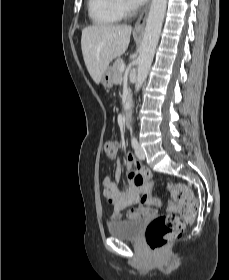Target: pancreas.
<instances>
[{
  "instance_id": "pancreas-1",
  "label": "pancreas",
  "mask_w": 229,
  "mask_h": 280,
  "mask_svg": "<svg viewBox=\"0 0 229 280\" xmlns=\"http://www.w3.org/2000/svg\"><path fill=\"white\" fill-rule=\"evenodd\" d=\"M123 64L122 59L118 58L113 64L112 71H113V80L115 84H118L122 79V72L120 71V66Z\"/></svg>"
}]
</instances>
